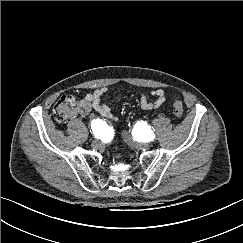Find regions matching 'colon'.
I'll use <instances>...</instances> for the list:
<instances>
[{
	"label": "colon",
	"instance_id": "1",
	"mask_svg": "<svg viewBox=\"0 0 243 243\" xmlns=\"http://www.w3.org/2000/svg\"><path fill=\"white\" fill-rule=\"evenodd\" d=\"M78 99L74 95H63L55 103L53 107V115L57 122H64L69 119L78 106ZM173 113L180 118L184 114L183 104L179 100L172 102Z\"/></svg>",
	"mask_w": 243,
	"mask_h": 243
}]
</instances>
